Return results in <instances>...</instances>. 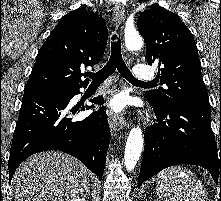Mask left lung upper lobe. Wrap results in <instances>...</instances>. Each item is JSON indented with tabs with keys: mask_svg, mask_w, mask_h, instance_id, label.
<instances>
[{
	"mask_svg": "<svg viewBox=\"0 0 221 201\" xmlns=\"http://www.w3.org/2000/svg\"><path fill=\"white\" fill-rule=\"evenodd\" d=\"M137 27L146 42L148 64L158 63V78L167 88L146 92L162 107L178 104H209L196 43L181 19L163 7L145 10Z\"/></svg>",
	"mask_w": 221,
	"mask_h": 201,
	"instance_id": "5c2ea615",
	"label": "left lung upper lobe"
}]
</instances>
